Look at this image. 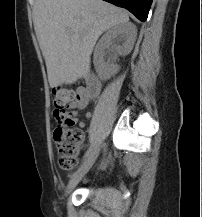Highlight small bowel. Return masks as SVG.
Listing matches in <instances>:
<instances>
[{
  "mask_svg": "<svg viewBox=\"0 0 202 217\" xmlns=\"http://www.w3.org/2000/svg\"><path fill=\"white\" fill-rule=\"evenodd\" d=\"M78 93L80 94V100L75 103L71 109L72 111L69 114L70 117V121L74 124H78L79 127L83 128L85 123L84 121H79L77 119V110H81L84 109L85 107H87L89 105V103L98 95H89L87 93V90L85 88H79L78 89ZM91 113L88 112L85 114V119H90L91 118ZM109 162V158H107L104 162H103V166H105L107 163Z\"/></svg>",
  "mask_w": 202,
  "mask_h": 217,
  "instance_id": "obj_1",
  "label": "small bowel"
}]
</instances>
